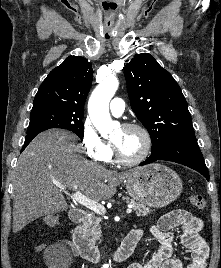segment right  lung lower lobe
<instances>
[{"mask_svg":"<svg viewBox=\"0 0 221 268\" xmlns=\"http://www.w3.org/2000/svg\"><path fill=\"white\" fill-rule=\"evenodd\" d=\"M37 134H33V135H27L25 138V142L23 145V148L21 150V152L27 147V145L30 143V141L36 136Z\"/></svg>","mask_w":221,"mask_h":268,"instance_id":"1","label":"right lung lower lobe"}]
</instances>
